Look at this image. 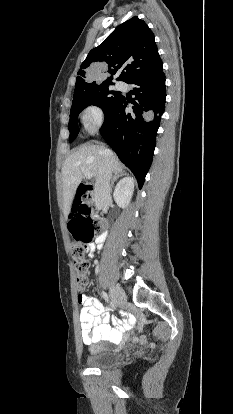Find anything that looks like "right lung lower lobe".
I'll use <instances>...</instances> for the list:
<instances>
[{"mask_svg":"<svg viewBox=\"0 0 233 414\" xmlns=\"http://www.w3.org/2000/svg\"><path fill=\"white\" fill-rule=\"evenodd\" d=\"M163 67L157 72L135 77L127 83L134 84L136 96L132 111L130 101L121 96L104 114L100 129L102 137L116 152L120 160L134 173L141 188L151 165L155 136L164 112L166 92Z\"/></svg>","mask_w":233,"mask_h":414,"instance_id":"98d812e1","label":"right lung lower lobe"}]
</instances>
